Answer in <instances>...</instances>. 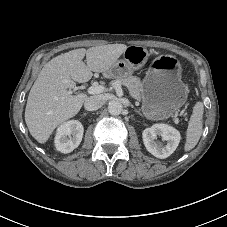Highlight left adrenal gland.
<instances>
[{
    "mask_svg": "<svg viewBox=\"0 0 227 227\" xmlns=\"http://www.w3.org/2000/svg\"><path fill=\"white\" fill-rule=\"evenodd\" d=\"M135 112H137L138 114H140L139 111H137V110H135Z\"/></svg>",
    "mask_w": 227,
    "mask_h": 227,
    "instance_id": "left-adrenal-gland-1",
    "label": "left adrenal gland"
}]
</instances>
